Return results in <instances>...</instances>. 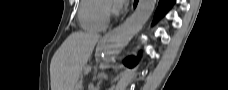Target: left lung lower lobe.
<instances>
[{
    "mask_svg": "<svg viewBox=\"0 0 228 90\" xmlns=\"http://www.w3.org/2000/svg\"><path fill=\"white\" fill-rule=\"evenodd\" d=\"M138 1L135 0L134 6ZM175 0H160L157 11L155 13V21L161 18L174 4ZM137 59L130 57L124 61V64L128 67H133L136 64Z\"/></svg>",
    "mask_w": 228,
    "mask_h": 90,
    "instance_id": "obj_1",
    "label": "left lung lower lobe"
}]
</instances>
